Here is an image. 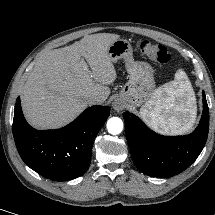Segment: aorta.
<instances>
[{
  "label": "aorta",
  "instance_id": "762f6f07",
  "mask_svg": "<svg viewBox=\"0 0 215 215\" xmlns=\"http://www.w3.org/2000/svg\"><path fill=\"white\" fill-rule=\"evenodd\" d=\"M107 129L110 134L117 135L123 130V122L118 117H112L107 122Z\"/></svg>",
  "mask_w": 215,
  "mask_h": 215
}]
</instances>
